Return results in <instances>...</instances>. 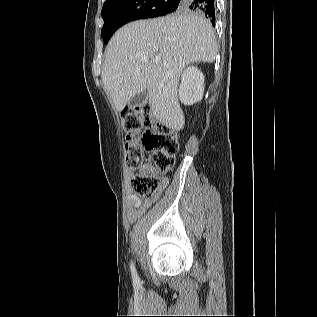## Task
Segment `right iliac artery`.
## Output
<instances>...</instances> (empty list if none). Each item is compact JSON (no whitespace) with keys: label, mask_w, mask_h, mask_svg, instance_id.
<instances>
[{"label":"right iliac artery","mask_w":317,"mask_h":317,"mask_svg":"<svg viewBox=\"0 0 317 317\" xmlns=\"http://www.w3.org/2000/svg\"><path fill=\"white\" fill-rule=\"evenodd\" d=\"M130 269H131V274H132L133 282H134L135 284H138V283H139V277H138V274H137V272H136V269H135V266H134V263H133V262H131Z\"/></svg>","instance_id":"right-iliac-artery-1"}]
</instances>
